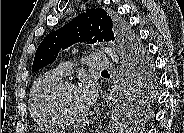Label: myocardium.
I'll list each match as a JSON object with an SVG mask.
<instances>
[{
    "instance_id": "myocardium-1",
    "label": "myocardium",
    "mask_w": 184,
    "mask_h": 133,
    "mask_svg": "<svg viewBox=\"0 0 184 133\" xmlns=\"http://www.w3.org/2000/svg\"><path fill=\"white\" fill-rule=\"evenodd\" d=\"M68 88H77V86L72 81H62L53 89L50 96V109L58 120L59 124L76 126L84 123L87 120L88 112L80 118H70L63 113L61 108V97Z\"/></svg>"
}]
</instances>
